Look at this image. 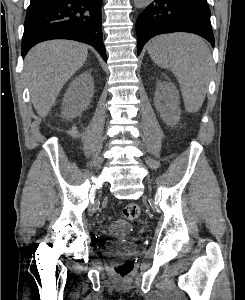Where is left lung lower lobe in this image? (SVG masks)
<instances>
[{"label": "left lung lower lobe", "mask_w": 245, "mask_h": 300, "mask_svg": "<svg viewBox=\"0 0 245 300\" xmlns=\"http://www.w3.org/2000/svg\"><path fill=\"white\" fill-rule=\"evenodd\" d=\"M136 31L138 55L149 39L172 32L194 33L215 46L206 0H154L138 16Z\"/></svg>", "instance_id": "1"}]
</instances>
